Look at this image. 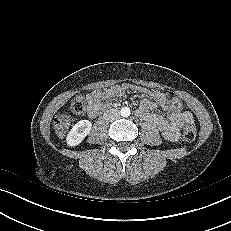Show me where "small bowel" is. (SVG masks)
Returning a JSON list of instances; mask_svg holds the SVG:
<instances>
[{
    "instance_id": "obj_1",
    "label": "small bowel",
    "mask_w": 231,
    "mask_h": 231,
    "mask_svg": "<svg viewBox=\"0 0 231 231\" xmlns=\"http://www.w3.org/2000/svg\"><path fill=\"white\" fill-rule=\"evenodd\" d=\"M132 90L141 94L142 99L136 110V115L151 122L158 127L162 136L168 140L175 141L180 136V128L184 123L193 122L190 112L174 109L170 104V99L161 91H150L131 84L115 85L102 91H92L86 95L88 102L87 114L89 117H96L102 110L108 107L105 101L120 97L127 91ZM167 113L164 117L157 113V110Z\"/></svg>"
}]
</instances>
